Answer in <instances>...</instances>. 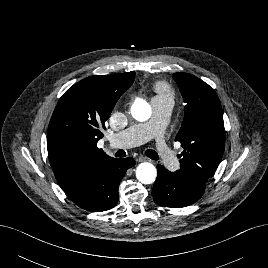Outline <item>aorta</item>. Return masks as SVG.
<instances>
[{
    "instance_id": "1",
    "label": "aorta",
    "mask_w": 268,
    "mask_h": 268,
    "mask_svg": "<svg viewBox=\"0 0 268 268\" xmlns=\"http://www.w3.org/2000/svg\"><path fill=\"white\" fill-rule=\"evenodd\" d=\"M131 114L135 120L143 122L151 117L152 109L146 100L138 98L132 104ZM156 176L157 170L151 163L143 162L136 168V177L142 184L153 183Z\"/></svg>"
}]
</instances>
